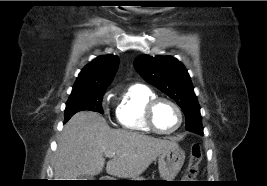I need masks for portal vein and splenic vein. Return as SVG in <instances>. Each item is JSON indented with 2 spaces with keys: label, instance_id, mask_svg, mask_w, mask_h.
Segmentation results:
<instances>
[{
  "label": "portal vein and splenic vein",
  "instance_id": "obj_1",
  "mask_svg": "<svg viewBox=\"0 0 267 186\" xmlns=\"http://www.w3.org/2000/svg\"><path fill=\"white\" fill-rule=\"evenodd\" d=\"M114 155H115V152H106V153H105V156H106V157H109V158H110V157H113Z\"/></svg>",
  "mask_w": 267,
  "mask_h": 186
}]
</instances>
